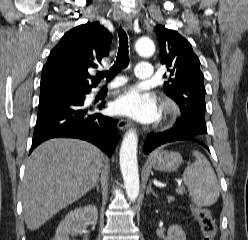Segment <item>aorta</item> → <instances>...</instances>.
<instances>
[{
    "label": "aorta",
    "mask_w": 248,
    "mask_h": 240,
    "mask_svg": "<svg viewBox=\"0 0 248 240\" xmlns=\"http://www.w3.org/2000/svg\"><path fill=\"white\" fill-rule=\"evenodd\" d=\"M136 52L143 57H150L155 52V45L149 38H140L135 43ZM138 136L133 129L129 130L120 148V169L123 176L127 197L134 202L140 190L139 172L137 164Z\"/></svg>",
    "instance_id": "762f6f07"
}]
</instances>
